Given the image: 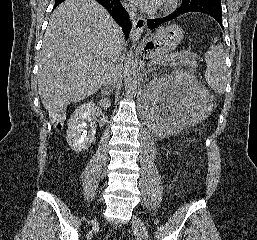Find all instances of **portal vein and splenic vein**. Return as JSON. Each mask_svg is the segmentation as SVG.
I'll use <instances>...</instances> for the list:
<instances>
[{"label": "portal vein and splenic vein", "instance_id": "18ae733b", "mask_svg": "<svg viewBox=\"0 0 257 240\" xmlns=\"http://www.w3.org/2000/svg\"><path fill=\"white\" fill-rule=\"evenodd\" d=\"M169 59H171V58H170V57H166V58L161 57V58L159 59V61H167V60H169ZM154 64H156V61L150 62V63L148 64V67H151V66L154 65Z\"/></svg>", "mask_w": 257, "mask_h": 240}]
</instances>
